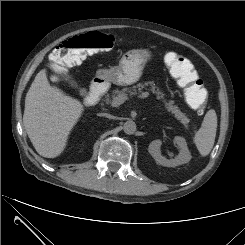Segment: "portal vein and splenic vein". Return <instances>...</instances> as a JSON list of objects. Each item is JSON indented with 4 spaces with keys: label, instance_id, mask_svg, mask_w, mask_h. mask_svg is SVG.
Listing matches in <instances>:
<instances>
[{
    "label": "portal vein and splenic vein",
    "instance_id": "obj_1",
    "mask_svg": "<svg viewBox=\"0 0 245 245\" xmlns=\"http://www.w3.org/2000/svg\"><path fill=\"white\" fill-rule=\"evenodd\" d=\"M149 96V93L148 92H144L141 96H139L140 98H146ZM128 98L125 97V96H118V97H115L114 100L112 101V106L114 107H117L121 104H123Z\"/></svg>",
    "mask_w": 245,
    "mask_h": 245
}]
</instances>
